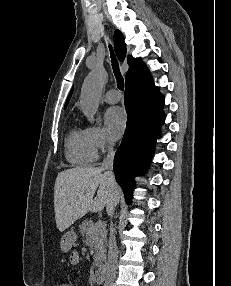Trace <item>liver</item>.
<instances>
[{
  "label": "liver",
  "mask_w": 231,
  "mask_h": 286,
  "mask_svg": "<svg viewBox=\"0 0 231 286\" xmlns=\"http://www.w3.org/2000/svg\"><path fill=\"white\" fill-rule=\"evenodd\" d=\"M119 198L117 183L109 182L101 168L76 167L58 173L54 186V211L58 230L65 231L89 211H101L105 206L106 209H114Z\"/></svg>",
  "instance_id": "liver-1"
}]
</instances>
